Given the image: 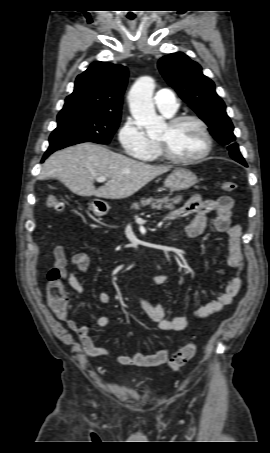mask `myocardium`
Returning <instances> with one entry per match:
<instances>
[{
  "label": "myocardium",
  "mask_w": 270,
  "mask_h": 453,
  "mask_svg": "<svg viewBox=\"0 0 270 453\" xmlns=\"http://www.w3.org/2000/svg\"><path fill=\"white\" fill-rule=\"evenodd\" d=\"M191 121L196 123L197 125L200 126L202 133L205 138V147L201 153L194 157H189V158H181L177 157L172 152L170 151L168 145L166 142L163 141H157V145L161 154V157L171 163L174 164H193L201 161L204 159L206 156L209 155V153L212 150L213 146V140L211 133L209 131V127L207 123L201 119L200 117H197L195 115H180V116H174L170 118L167 122V125L169 128H175L178 125L182 124L183 122Z\"/></svg>",
  "instance_id": "f54148a6"
}]
</instances>
